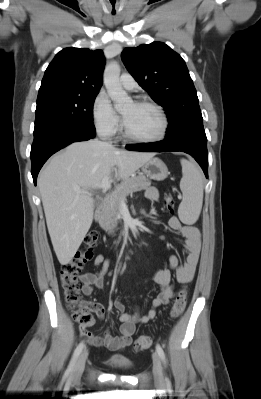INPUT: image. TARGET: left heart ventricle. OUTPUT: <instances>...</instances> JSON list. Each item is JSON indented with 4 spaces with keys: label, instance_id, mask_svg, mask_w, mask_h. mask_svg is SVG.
I'll return each instance as SVG.
<instances>
[{
    "label": "left heart ventricle",
    "instance_id": "left-heart-ventricle-1",
    "mask_svg": "<svg viewBox=\"0 0 261 399\" xmlns=\"http://www.w3.org/2000/svg\"><path fill=\"white\" fill-rule=\"evenodd\" d=\"M128 129L139 137H154L159 134L162 120L157 111L149 106L130 102L121 111Z\"/></svg>",
    "mask_w": 261,
    "mask_h": 399
}]
</instances>
